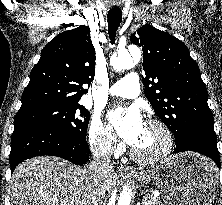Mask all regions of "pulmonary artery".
<instances>
[{
  "label": "pulmonary artery",
  "mask_w": 222,
  "mask_h": 205,
  "mask_svg": "<svg viewBox=\"0 0 222 205\" xmlns=\"http://www.w3.org/2000/svg\"><path fill=\"white\" fill-rule=\"evenodd\" d=\"M139 93V80L134 73H128L125 77L116 82L108 91V94L111 96H119L123 98H135Z\"/></svg>",
  "instance_id": "obj_1"
}]
</instances>
